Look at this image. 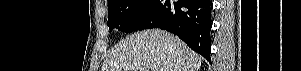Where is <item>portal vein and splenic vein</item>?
<instances>
[{"label": "portal vein and splenic vein", "mask_w": 301, "mask_h": 71, "mask_svg": "<svg viewBox=\"0 0 301 71\" xmlns=\"http://www.w3.org/2000/svg\"><path fill=\"white\" fill-rule=\"evenodd\" d=\"M137 69H138L139 71H148V69H146V68H144V67H137Z\"/></svg>", "instance_id": "obj_1"}]
</instances>
